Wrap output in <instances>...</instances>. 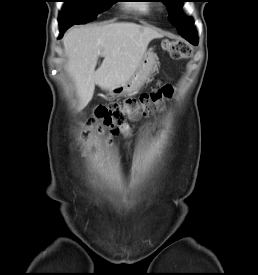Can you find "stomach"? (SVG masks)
Wrapping results in <instances>:
<instances>
[{"mask_svg":"<svg viewBox=\"0 0 258 275\" xmlns=\"http://www.w3.org/2000/svg\"><path fill=\"white\" fill-rule=\"evenodd\" d=\"M156 59V55L152 49H149L145 52L138 68L130 79L113 89L107 90L108 94L113 96H122L138 92L154 71L157 63Z\"/></svg>","mask_w":258,"mask_h":275,"instance_id":"obj_1","label":"stomach"}]
</instances>
